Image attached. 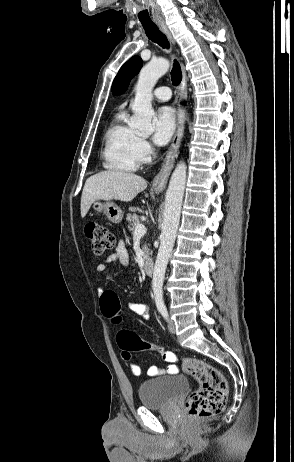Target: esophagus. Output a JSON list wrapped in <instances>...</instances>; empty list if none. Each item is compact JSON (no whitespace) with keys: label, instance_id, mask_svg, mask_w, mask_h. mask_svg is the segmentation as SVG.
<instances>
[{"label":"esophagus","instance_id":"1","mask_svg":"<svg viewBox=\"0 0 294 462\" xmlns=\"http://www.w3.org/2000/svg\"><path fill=\"white\" fill-rule=\"evenodd\" d=\"M158 27L160 30L168 37V39L175 44V40L169 31L167 25L163 21L157 22ZM186 90H187V76L184 64H182V80L180 84V99L184 100L186 97ZM184 125H185V111L182 105L179 106L178 114H177V130L173 137L172 143L166 153L165 159L161 166L160 171L155 176L152 182V188L156 192H162L167 184L169 175L174 165V160L178 154L181 140L184 133Z\"/></svg>","mask_w":294,"mask_h":462}]
</instances>
